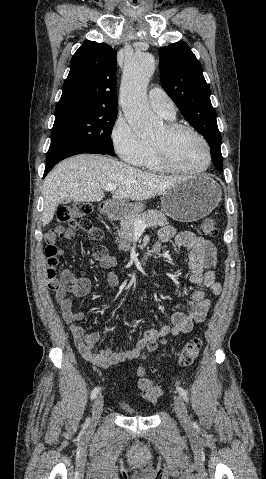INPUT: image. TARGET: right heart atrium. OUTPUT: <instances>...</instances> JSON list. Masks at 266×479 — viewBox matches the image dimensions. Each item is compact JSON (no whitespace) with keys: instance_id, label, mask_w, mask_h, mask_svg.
I'll return each mask as SVG.
<instances>
[{"instance_id":"obj_1","label":"right heart atrium","mask_w":266,"mask_h":479,"mask_svg":"<svg viewBox=\"0 0 266 479\" xmlns=\"http://www.w3.org/2000/svg\"><path fill=\"white\" fill-rule=\"evenodd\" d=\"M111 141L118 156L124 162L133 165H138L150 149V144L140 138L122 116L116 119L111 129Z\"/></svg>"}]
</instances>
